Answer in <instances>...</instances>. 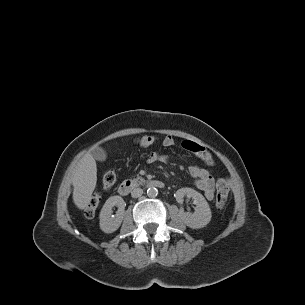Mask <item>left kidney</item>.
I'll return each instance as SVG.
<instances>
[{"label":"left kidney","mask_w":305,"mask_h":305,"mask_svg":"<svg viewBox=\"0 0 305 305\" xmlns=\"http://www.w3.org/2000/svg\"><path fill=\"white\" fill-rule=\"evenodd\" d=\"M184 197L192 198L196 207L193 213L184 212L183 209H180V219L192 229L205 227L210 222L212 214L209 204L204 196L192 188L178 189L175 193L176 201L182 204Z\"/></svg>","instance_id":"left-kidney-1"}]
</instances>
